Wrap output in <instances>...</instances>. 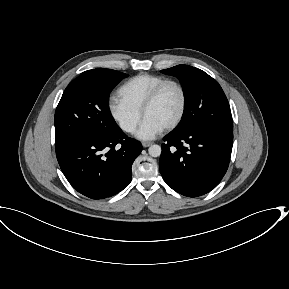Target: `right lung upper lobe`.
<instances>
[{"mask_svg": "<svg viewBox=\"0 0 289 289\" xmlns=\"http://www.w3.org/2000/svg\"><path fill=\"white\" fill-rule=\"evenodd\" d=\"M105 70H107V69L97 68V69H94V70H91V71L99 72V71H105Z\"/></svg>", "mask_w": 289, "mask_h": 289, "instance_id": "1", "label": "right lung upper lobe"}]
</instances>
